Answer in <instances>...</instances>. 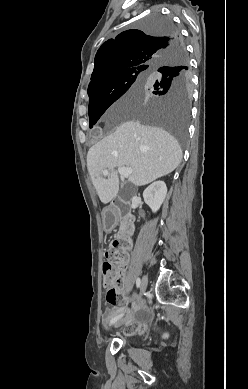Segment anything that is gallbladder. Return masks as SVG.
I'll use <instances>...</instances> for the list:
<instances>
[{
  "label": "gallbladder",
  "mask_w": 248,
  "mask_h": 389,
  "mask_svg": "<svg viewBox=\"0 0 248 389\" xmlns=\"http://www.w3.org/2000/svg\"><path fill=\"white\" fill-rule=\"evenodd\" d=\"M130 194V190L128 186H125L121 191L122 198H127Z\"/></svg>",
  "instance_id": "gallbladder-1"
}]
</instances>
